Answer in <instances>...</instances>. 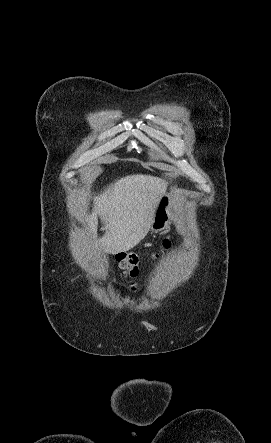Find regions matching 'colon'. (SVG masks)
I'll use <instances>...</instances> for the list:
<instances>
[{"label":"colon","mask_w":271,"mask_h":443,"mask_svg":"<svg viewBox=\"0 0 271 443\" xmlns=\"http://www.w3.org/2000/svg\"><path fill=\"white\" fill-rule=\"evenodd\" d=\"M164 248L170 247V241L165 240L163 243ZM158 257V254L156 255ZM117 262L119 263L120 269L122 270L125 277L130 279H135L139 273V257L134 252H120L115 256Z\"/></svg>","instance_id":"obj_1"}]
</instances>
